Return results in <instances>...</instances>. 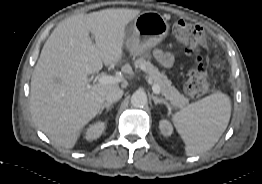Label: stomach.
I'll list each match as a JSON object with an SVG mask.
<instances>
[{
    "mask_svg": "<svg viewBox=\"0 0 262 184\" xmlns=\"http://www.w3.org/2000/svg\"><path fill=\"white\" fill-rule=\"evenodd\" d=\"M167 19L158 12L140 13L131 23L126 47L131 55H144L161 43L169 32Z\"/></svg>",
    "mask_w": 262,
    "mask_h": 184,
    "instance_id": "0dacf381",
    "label": "stomach"
}]
</instances>
